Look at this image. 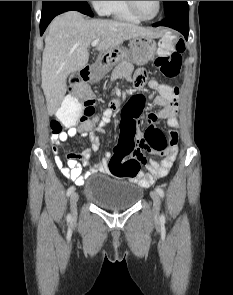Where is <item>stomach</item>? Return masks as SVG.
I'll use <instances>...</instances> for the list:
<instances>
[{"label":"stomach","mask_w":233,"mask_h":295,"mask_svg":"<svg viewBox=\"0 0 233 295\" xmlns=\"http://www.w3.org/2000/svg\"><path fill=\"white\" fill-rule=\"evenodd\" d=\"M128 49H119L112 57L114 62L129 60L138 66L147 64L149 61L153 60L156 55L157 46L156 42L151 37L147 36H137L130 40L128 44ZM111 64L108 62L107 65H102L101 70L92 76L93 80H99L103 72L108 70Z\"/></svg>","instance_id":"stomach-1"}]
</instances>
